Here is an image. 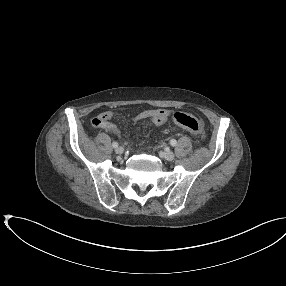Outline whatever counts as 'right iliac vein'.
Returning a JSON list of instances; mask_svg holds the SVG:
<instances>
[{
    "instance_id": "right-iliac-vein-1",
    "label": "right iliac vein",
    "mask_w": 286,
    "mask_h": 286,
    "mask_svg": "<svg viewBox=\"0 0 286 286\" xmlns=\"http://www.w3.org/2000/svg\"><path fill=\"white\" fill-rule=\"evenodd\" d=\"M115 151H116L117 154L121 155L124 152V148L119 146V147H116Z\"/></svg>"
}]
</instances>
